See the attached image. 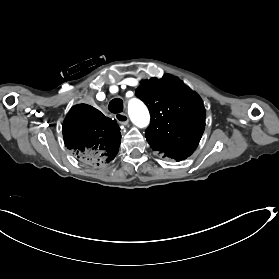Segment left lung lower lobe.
<instances>
[{
  "label": "left lung lower lobe",
  "mask_w": 279,
  "mask_h": 279,
  "mask_svg": "<svg viewBox=\"0 0 279 279\" xmlns=\"http://www.w3.org/2000/svg\"><path fill=\"white\" fill-rule=\"evenodd\" d=\"M183 159H185V158H176L175 160L180 161V160H183Z\"/></svg>",
  "instance_id": "0a47b994"
}]
</instances>
